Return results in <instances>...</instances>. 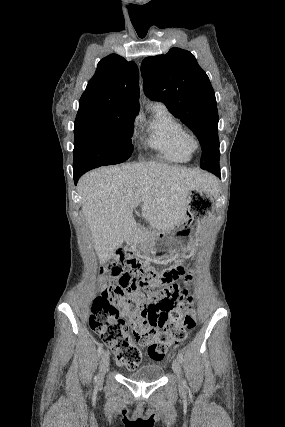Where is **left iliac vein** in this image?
Segmentation results:
<instances>
[{
    "instance_id": "left-iliac-vein-1",
    "label": "left iliac vein",
    "mask_w": 285,
    "mask_h": 427,
    "mask_svg": "<svg viewBox=\"0 0 285 427\" xmlns=\"http://www.w3.org/2000/svg\"><path fill=\"white\" fill-rule=\"evenodd\" d=\"M172 368H173V371H174V373H175V375H176V377L178 379V382L180 384H182V380L180 379V376H181V366H180V362H179L178 359H174V361L172 363Z\"/></svg>"
}]
</instances>
